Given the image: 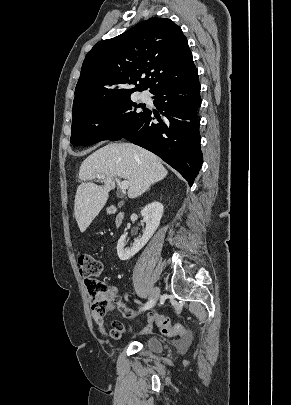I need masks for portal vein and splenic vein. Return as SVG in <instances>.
<instances>
[{
  "instance_id": "18ae733b",
  "label": "portal vein and splenic vein",
  "mask_w": 291,
  "mask_h": 405,
  "mask_svg": "<svg viewBox=\"0 0 291 405\" xmlns=\"http://www.w3.org/2000/svg\"><path fill=\"white\" fill-rule=\"evenodd\" d=\"M98 179H104L103 175H97ZM117 185L120 187L121 190H126L129 187V182L128 181H120L119 179H115Z\"/></svg>"
}]
</instances>
